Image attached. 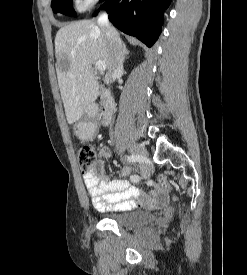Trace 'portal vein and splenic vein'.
<instances>
[{
    "label": "portal vein and splenic vein",
    "mask_w": 247,
    "mask_h": 275,
    "mask_svg": "<svg viewBox=\"0 0 247 275\" xmlns=\"http://www.w3.org/2000/svg\"><path fill=\"white\" fill-rule=\"evenodd\" d=\"M95 68L100 72H104L106 70V64L103 61H97L95 62Z\"/></svg>",
    "instance_id": "18ae733b"
}]
</instances>
